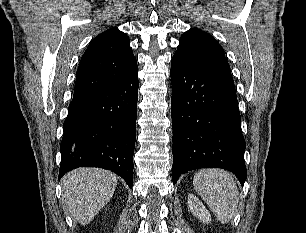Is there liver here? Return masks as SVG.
<instances>
[{"label": "liver", "mask_w": 306, "mask_h": 233, "mask_svg": "<svg viewBox=\"0 0 306 233\" xmlns=\"http://www.w3.org/2000/svg\"><path fill=\"white\" fill-rule=\"evenodd\" d=\"M62 186L69 213L87 225L112 198L117 177L98 168H79L64 176Z\"/></svg>", "instance_id": "6515ba94"}]
</instances>
